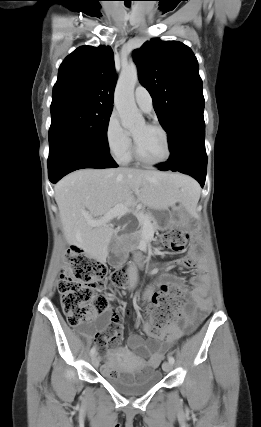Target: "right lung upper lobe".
Here are the masks:
<instances>
[{"mask_svg": "<svg viewBox=\"0 0 261 427\" xmlns=\"http://www.w3.org/2000/svg\"><path fill=\"white\" fill-rule=\"evenodd\" d=\"M115 84L112 49L81 46L60 65L51 109L68 105L113 108Z\"/></svg>", "mask_w": 261, "mask_h": 427, "instance_id": "cb5924a9", "label": "right lung upper lobe"}]
</instances>
